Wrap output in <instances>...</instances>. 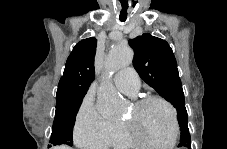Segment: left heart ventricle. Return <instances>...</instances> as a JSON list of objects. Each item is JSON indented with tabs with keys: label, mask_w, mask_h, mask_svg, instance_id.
<instances>
[{
	"label": "left heart ventricle",
	"mask_w": 227,
	"mask_h": 149,
	"mask_svg": "<svg viewBox=\"0 0 227 149\" xmlns=\"http://www.w3.org/2000/svg\"><path fill=\"white\" fill-rule=\"evenodd\" d=\"M126 120H133L136 129L147 139L168 143L173 135V120L170 111L161 103H151L140 111L134 108Z\"/></svg>",
	"instance_id": "1"
}]
</instances>
